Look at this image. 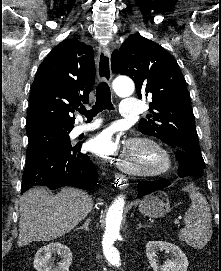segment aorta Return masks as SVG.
<instances>
[{
    "label": "aorta",
    "mask_w": 221,
    "mask_h": 271,
    "mask_svg": "<svg viewBox=\"0 0 221 271\" xmlns=\"http://www.w3.org/2000/svg\"><path fill=\"white\" fill-rule=\"evenodd\" d=\"M134 88V83L129 78H116L113 81V89L119 96H130L134 92ZM124 205V197L118 196L106 215V230L102 241L103 253L108 262L114 266L120 265V254L113 244L119 237Z\"/></svg>",
    "instance_id": "aorta-1"
}]
</instances>
